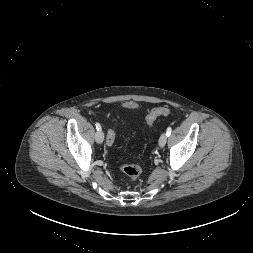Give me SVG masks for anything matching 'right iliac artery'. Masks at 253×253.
I'll list each match as a JSON object with an SVG mask.
<instances>
[{
  "label": "right iliac artery",
  "instance_id": "obj_1",
  "mask_svg": "<svg viewBox=\"0 0 253 253\" xmlns=\"http://www.w3.org/2000/svg\"><path fill=\"white\" fill-rule=\"evenodd\" d=\"M95 126H96L97 131H101V126L99 123H96Z\"/></svg>",
  "mask_w": 253,
  "mask_h": 253
}]
</instances>
